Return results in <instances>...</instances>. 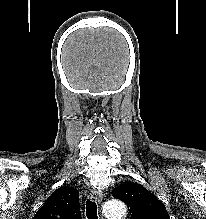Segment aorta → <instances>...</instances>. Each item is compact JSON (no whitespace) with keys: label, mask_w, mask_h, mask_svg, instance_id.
<instances>
[{"label":"aorta","mask_w":206,"mask_h":219,"mask_svg":"<svg viewBox=\"0 0 206 219\" xmlns=\"http://www.w3.org/2000/svg\"><path fill=\"white\" fill-rule=\"evenodd\" d=\"M126 211L125 204L120 200L108 201L104 206V214L108 219H122Z\"/></svg>","instance_id":"762f6f07"}]
</instances>
